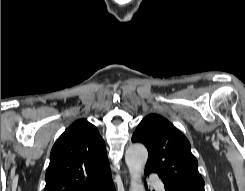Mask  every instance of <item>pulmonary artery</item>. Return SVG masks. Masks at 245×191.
<instances>
[{
  "mask_svg": "<svg viewBox=\"0 0 245 191\" xmlns=\"http://www.w3.org/2000/svg\"><path fill=\"white\" fill-rule=\"evenodd\" d=\"M150 180L157 191H165L164 183L160 179L153 176Z\"/></svg>",
  "mask_w": 245,
  "mask_h": 191,
  "instance_id": "obj_1",
  "label": "pulmonary artery"
}]
</instances>
